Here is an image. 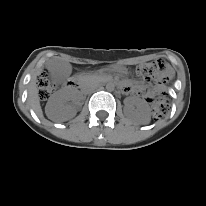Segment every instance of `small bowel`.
<instances>
[{"label":"small bowel","instance_id":"obj_1","mask_svg":"<svg viewBox=\"0 0 206 206\" xmlns=\"http://www.w3.org/2000/svg\"><path fill=\"white\" fill-rule=\"evenodd\" d=\"M161 86H162V84H161V83H159V84H158V87H161Z\"/></svg>","mask_w":206,"mask_h":206}]
</instances>
